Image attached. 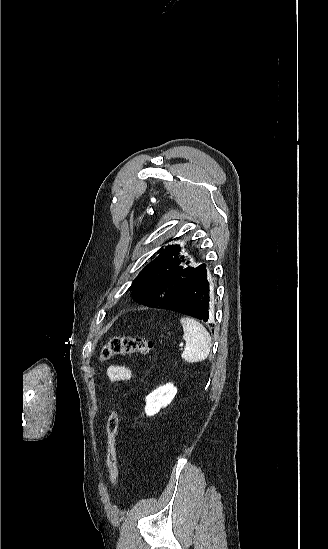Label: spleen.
I'll list each match as a JSON object with an SVG mask.
<instances>
[{
	"instance_id": "spleen-1",
	"label": "spleen",
	"mask_w": 328,
	"mask_h": 549,
	"mask_svg": "<svg viewBox=\"0 0 328 549\" xmlns=\"http://www.w3.org/2000/svg\"><path fill=\"white\" fill-rule=\"evenodd\" d=\"M180 323L184 331L183 339L186 341L185 349L181 355L182 359L186 363H199V361L207 359L212 343L208 331L201 323L190 319V317H183L180 319Z\"/></svg>"
}]
</instances>
